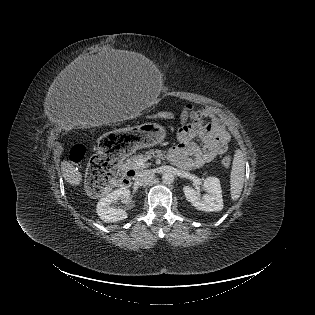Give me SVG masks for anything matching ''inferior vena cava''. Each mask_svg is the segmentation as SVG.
Wrapping results in <instances>:
<instances>
[{"instance_id":"1","label":"inferior vena cava","mask_w":315,"mask_h":315,"mask_svg":"<svg viewBox=\"0 0 315 315\" xmlns=\"http://www.w3.org/2000/svg\"><path fill=\"white\" fill-rule=\"evenodd\" d=\"M154 173L152 170H144L137 174L135 177V184L138 186H142L147 183L151 178H153Z\"/></svg>"}]
</instances>
